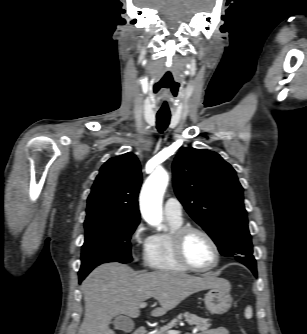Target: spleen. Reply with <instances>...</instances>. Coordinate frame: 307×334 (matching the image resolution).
<instances>
[{"instance_id": "obj_1", "label": "spleen", "mask_w": 307, "mask_h": 334, "mask_svg": "<svg viewBox=\"0 0 307 334\" xmlns=\"http://www.w3.org/2000/svg\"><path fill=\"white\" fill-rule=\"evenodd\" d=\"M245 317L250 319L252 317V308L251 306H247L245 309Z\"/></svg>"}]
</instances>
